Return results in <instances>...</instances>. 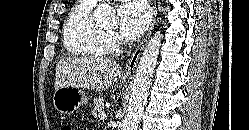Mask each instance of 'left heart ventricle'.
<instances>
[{"instance_id":"obj_1","label":"left heart ventricle","mask_w":249,"mask_h":130,"mask_svg":"<svg viewBox=\"0 0 249 130\" xmlns=\"http://www.w3.org/2000/svg\"><path fill=\"white\" fill-rule=\"evenodd\" d=\"M107 29H108V30H112V29H113V27H107Z\"/></svg>"}]
</instances>
